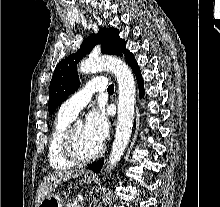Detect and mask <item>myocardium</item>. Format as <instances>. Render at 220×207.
I'll list each match as a JSON object with an SVG mask.
<instances>
[{
  "instance_id": "myocardium-1",
  "label": "myocardium",
  "mask_w": 220,
  "mask_h": 207,
  "mask_svg": "<svg viewBox=\"0 0 220 207\" xmlns=\"http://www.w3.org/2000/svg\"><path fill=\"white\" fill-rule=\"evenodd\" d=\"M75 125H69L62 137L61 147L64 157L73 164L84 165L98 159L103 153V147L100 146L97 152L89 157H81L78 155L75 144L73 130Z\"/></svg>"
}]
</instances>
